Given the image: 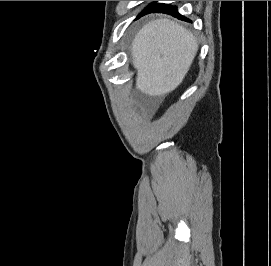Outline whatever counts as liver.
<instances>
[{
  "mask_svg": "<svg viewBox=\"0 0 271 266\" xmlns=\"http://www.w3.org/2000/svg\"><path fill=\"white\" fill-rule=\"evenodd\" d=\"M190 30L169 19L153 20L135 36L132 64L136 88L149 96H163L183 81L198 51Z\"/></svg>",
  "mask_w": 271,
  "mask_h": 266,
  "instance_id": "6515ba94",
  "label": "liver"
}]
</instances>
